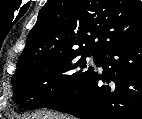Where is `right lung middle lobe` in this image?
I'll return each mask as SVG.
<instances>
[{
	"mask_svg": "<svg viewBox=\"0 0 142 119\" xmlns=\"http://www.w3.org/2000/svg\"><path fill=\"white\" fill-rule=\"evenodd\" d=\"M96 63L99 55L83 50L47 56L19 69L12 77L13 100L23 107H46L77 89L94 71L87 57Z\"/></svg>",
	"mask_w": 142,
	"mask_h": 119,
	"instance_id": "1",
	"label": "right lung middle lobe"
}]
</instances>
